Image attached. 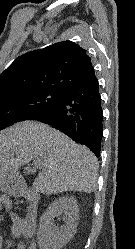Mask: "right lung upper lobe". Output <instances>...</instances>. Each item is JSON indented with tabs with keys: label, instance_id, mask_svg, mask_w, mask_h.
<instances>
[{
	"label": "right lung upper lobe",
	"instance_id": "1",
	"mask_svg": "<svg viewBox=\"0 0 135 249\" xmlns=\"http://www.w3.org/2000/svg\"><path fill=\"white\" fill-rule=\"evenodd\" d=\"M96 78L86 50L71 41L27 52L0 74V97L34 91L65 92Z\"/></svg>",
	"mask_w": 135,
	"mask_h": 249
}]
</instances>
